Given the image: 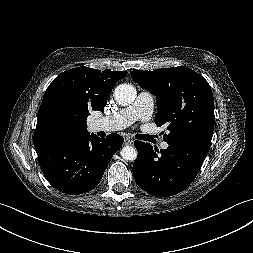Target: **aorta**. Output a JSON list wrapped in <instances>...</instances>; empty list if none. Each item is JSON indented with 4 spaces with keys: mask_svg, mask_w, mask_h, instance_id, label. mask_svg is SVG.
Listing matches in <instances>:
<instances>
[{
    "mask_svg": "<svg viewBox=\"0 0 253 253\" xmlns=\"http://www.w3.org/2000/svg\"><path fill=\"white\" fill-rule=\"evenodd\" d=\"M136 89L130 84H120L115 88L114 97L120 105H129L136 99ZM121 156L124 160L133 161L137 157V150L132 146H125L121 150Z\"/></svg>",
    "mask_w": 253,
    "mask_h": 253,
    "instance_id": "obj_1",
    "label": "aorta"
}]
</instances>
